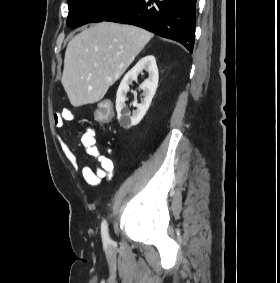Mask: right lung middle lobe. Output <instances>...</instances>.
Masks as SVG:
<instances>
[{
    "mask_svg": "<svg viewBox=\"0 0 280 283\" xmlns=\"http://www.w3.org/2000/svg\"><path fill=\"white\" fill-rule=\"evenodd\" d=\"M132 0H68L67 26L80 27L91 22H101Z\"/></svg>",
    "mask_w": 280,
    "mask_h": 283,
    "instance_id": "1",
    "label": "right lung middle lobe"
}]
</instances>
